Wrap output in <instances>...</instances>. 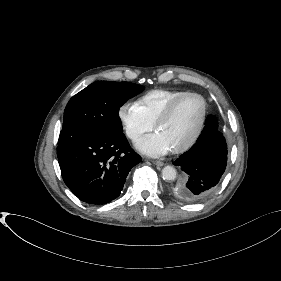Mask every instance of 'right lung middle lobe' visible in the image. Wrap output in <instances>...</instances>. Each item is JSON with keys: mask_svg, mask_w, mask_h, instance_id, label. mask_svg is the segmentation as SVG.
Masks as SVG:
<instances>
[{"mask_svg": "<svg viewBox=\"0 0 281 281\" xmlns=\"http://www.w3.org/2000/svg\"><path fill=\"white\" fill-rule=\"evenodd\" d=\"M129 82L97 81L73 96L64 111L58 145L76 137L122 133L119 108L144 90Z\"/></svg>", "mask_w": 281, "mask_h": 281, "instance_id": "dd1d6c3e", "label": "right lung middle lobe"}]
</instances>
